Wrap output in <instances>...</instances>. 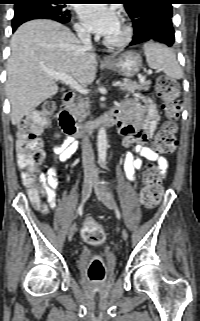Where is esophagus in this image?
I'll return each mask as SVG.
<instances>
[{"label":"esophagus","instance_id":"34e87169","mask_svg":"<svg viewBox=\"0 0 200 321\" xmlns=\"http://www.w3.org/2000/svg\"><path fill=\"white\" fill-rule=\"evenodd\" d=\"M110 59L108 57H104L103 61L108 62Z\"/></svg>","mask_w":200,"mask_h":321}]
</instances>
